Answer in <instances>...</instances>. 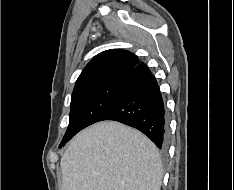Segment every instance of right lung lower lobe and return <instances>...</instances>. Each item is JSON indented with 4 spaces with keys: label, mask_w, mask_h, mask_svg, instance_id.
Instances as JSON below:
<instances>
[{
    "label": "right lung lower lobe",
    "mask_w": 234,
    "mask_h": 190,
    "mask_svg": "<svg viewBox=\"0 0 234 190\" xmlns=\"http://www.w3.org/2000/svg\"><path fill=\"white\" fill-rule=\"evenodd\" d=\"M114 120L134 127L151 139L159 149H166L168 121L155 77L144 63H139L125 78L110 109L99 119Z\"/></svg>",
    "instance_id": "98d812e1"
}]
</instances>
